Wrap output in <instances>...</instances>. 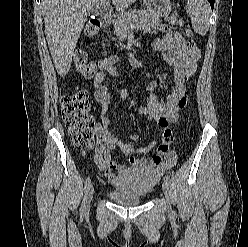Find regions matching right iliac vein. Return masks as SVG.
<instances>
[{
	"label": "right iliac vein",
	"instance_id": "obj_1",
	"mask_svg": "<svg viewBox=\"0 0 248 247\" xmlns=\"http://www.w3.org/2000/svg\"><path fill=\"white\" fill-rule=\"evenodd\" d=\"M93 194H94V187L92 184H90L87 192H86V209H85V212L88 211L89 207H90V203H91V200H92V197H93Z\"/></svg>",
	"mask_w": 248,
	"mask_h": 247
}]
</instances>
